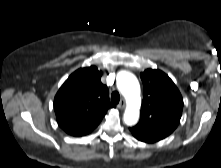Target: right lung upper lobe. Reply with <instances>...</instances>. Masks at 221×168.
Masks as SVG:
<instances>
[{
  "label": "right lung upper lobe",
  "mask_w": 221,
  "mask_h": 168,
  "mask_svg": "<svg viewBox=\"0 0 221 168\" xmlns=\"http://www.w3.org/2000/svg\"><path fill=\"white\" fill-rule=\"evenodd\" d=\"M102 72L95 66L80 68L71 74L54 98L59 126L68 134L83 136L93 131L107 113L116 107L109 101Z\"/></svg>",
  "instance_id": "right-lung-upper-lobe-1"
}]
</instances>
